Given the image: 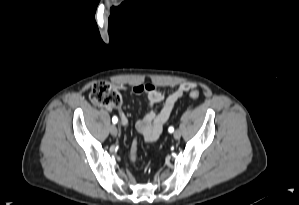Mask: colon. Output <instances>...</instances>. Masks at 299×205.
<instances>
[{
	"label": "colon",
	"instance_id": "5ec220e1",
	"mask_svg": "<svg viewBox=\"0 0 299 205\" xmlns=\"http://www.w3.org/2000/svg\"><path fill=\"white\" fill-rule=\"evenodd\" d=\"M189 96L192 99H198L200 94L196 89H191ZM90 100L95 105L105 107L107 109H114L120 106L122 97L119 90L107 81L96 82L90 92ZM132 160L137 158V143L134 142L131 151Z\"/></svg>",
	"mask_w": 299,
	"mask_h": 205
}]
</instances>
